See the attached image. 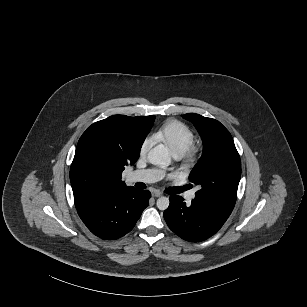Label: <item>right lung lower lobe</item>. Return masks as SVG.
Listing matches in <instances>:
<instances>
[{
    "label": "right lung lower lobe",
    "instance_id": "98d812e1",
    "mask_svg": "<svg viewBox=\"0 0 307 307\" xmlns=\"http://www.w3.org/2000/svg\"><path fill=\"white\" fill-rule=\"evenodd\" d=\"M150 196L147 190L126 187L77 208V212L96 236L102 239H118L133 229L148 206Z\"/></svg>",
    "mask_w": 307,
    "mask_h": 307
}]
</instances>
